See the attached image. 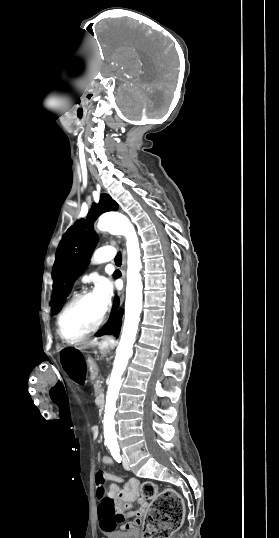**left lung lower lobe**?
<instances>
[{
    "label": "left lung lower lobe",
    "mask_w": 279,
    "mask_h": 538,
    "mask_svg": "<svg viewBox=\"0 0 279 538\" xmlns=\"http://www.w3.org/2000/svg\"><path fill=\"white\" fill-rule=\"evenodd\" d=\"M119 306V300L116 298L114 302V308L110 315V318L108 322L105 324L103 328H101L97 333L96 336H102L104 334H110L112 332H117L119 334L121 324H122V310L119 312L117 311V308Z\"/></svg>",
    "instance_id": "1"
}]
</instances>
